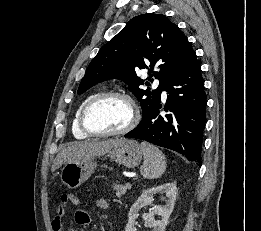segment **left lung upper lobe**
Instances as JSON below:
<instances>
[{
	"mask_svg": "<svg viewBox=\"0 0 261 231\" xmlns=\"http://www.w3.org/2000/svg\"><path fill=\"white\" fill-rule=\"evenodd\" d=\"M195 57L186 36L164 15H139L100 49L81 80L78 94L97 83L117 78L131 87L144 115L160 101L169 78L186 69ZM154 66L157 71H153ZM139 69L149 70V81H153V76L160 80L157 89L150 92L139 87L149 85L137 77Z\"/></svg>",
	"mask_w": 261,
	"mask_h": 231,
	"instance_id": "5c2ea615",
	"label": "left lung upper lobe"
}]
</instances>
